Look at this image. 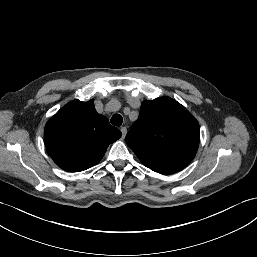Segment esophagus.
I'll return each mask as SVG.
<instances>
[{
	"label": "esophagus",
	"instance_id": "obj_1",
	"mask_svg": "<svg viewBox=\"0 0 257 257\" xmlns=\"http://www.w3.org/2000/svg\"><path fill=\"white\" fill-rule=\"evenodd\" d=\"M121 133H122V138H125L126 134H127V128L125 126L121 127Z\"/></svg>",
	"mask_w": 257,
	"mask_h": 257
}]
</instances>
